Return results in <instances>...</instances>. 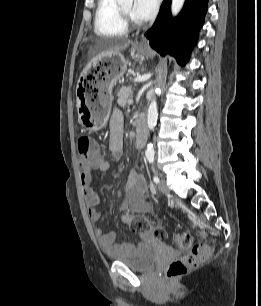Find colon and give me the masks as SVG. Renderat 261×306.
I'll list each match as a JSON object with an SVG mask.
<instances>
[{
    "instance_id": "colon-1",
    "label": "colon",
    "mask_w": 261,
    "mask_h": 306,
    "mask_svg": "<svg viewBox=\"0 0 261 306\" xmlns=\"http://www.w3.org/2000/svg\"><path fill=\"white\" fill-rule=\"evenodd\" d=\"M78 161L80 166L86 167L102 160L100 147L93 143L89 136H81L77 142ZM123 222L138 234H152L157 238H164L162 227L150 222L143 215H125ZM174 245L180 250H188L179 258L172 260L166 270L167 277L174 279L187 273L207 261L211 254V247L207 244L194 245V239L189 232H178L174 236Z\"/></svg>"
}]
</instances>
